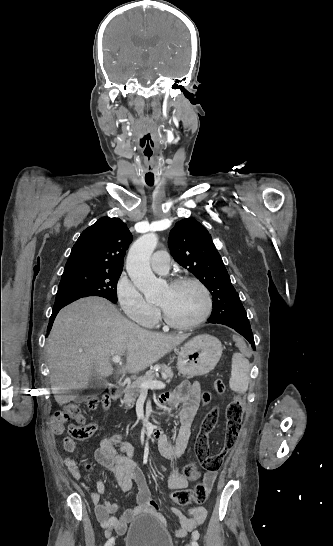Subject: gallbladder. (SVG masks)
Masks as SVG:
<instances>
[{
  "instance_id": "obj_1",
  "label": "gallbladder",
  "mask_w": 333,
  "mask_h": 546,
  "mask_svg": "<svg viewBox=\"0 0 333 546\" xmlns=\"http://www.w3.org/2000/svg\"><path fill=\"white\" fill-rule=\"evenodd\" d=\"M107 387V381L98 377L96 374H92L89 378V385H88V393L89 394H92V393H95V392H99V391H102L104 390L105 388ZM86 398V396H83V397H79V396H76L74 397V401L75 402H82L84 399Z\"/></svg>"
}]
</instances>
